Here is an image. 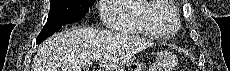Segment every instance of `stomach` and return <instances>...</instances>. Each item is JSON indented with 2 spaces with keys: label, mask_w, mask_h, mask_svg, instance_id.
<instances>
[{
  "label": "stomach",
  "mask_w": 230,
  "mask_h": 71,
  "mask_svg": "<svg viewBox=\"0 0 230 71\" xmlns=\"http://www.w3.org/2000/svg\"><path fill=\"white\" fill-rule=\"evenodd\" d=\"M176 65V58L170 52L160 53L157 61V69L159 71H172ZM119 71H142L140 66L126 64L122 66Z\"/></svg>",
  "instance_id": "0dacf381"
}]
</instances>
